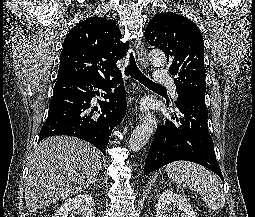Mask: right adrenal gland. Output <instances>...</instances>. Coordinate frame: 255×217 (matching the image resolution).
I'll list each match as a JSON object with an SVG mask.
<instances>
[{
	"mask_svg": "<svg viewBox=\"0 0 255 217\" xmlns=\"http://www.w3.org/2000/svg\"><path fill=\"white\" fill-rule=\"evenodd\" d=\"M97 181L100 183V178H98V179H95V181H94V182H97Z\"/></svg>",
	"mask_w": 255,
	"mask_h": 217,
	"instance_id": "2a0ac1e0",
	"label": "right adrenal gland"
}]
</instances>
